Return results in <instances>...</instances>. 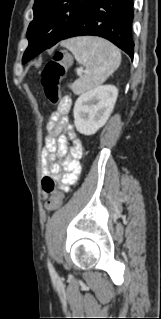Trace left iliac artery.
<instances>
[{
    "label": "left iliac artery",
    "instance_id": "obj_1",
    "mask_svg": "<svg viewBox=\"0 0 161 319\" xmlns=\"http://www.w3.org/2000/svg\"><path fill=\"white\" fill-rule=\"evenodd\" d=\"M48 268L51 275H56L55 269L53 268L51 262L48 260Z\"/></svg>",
    "mask_w": 161,
    "mask_h": 319
}]
</instances>
